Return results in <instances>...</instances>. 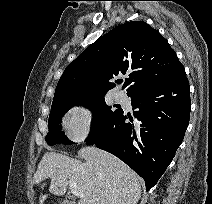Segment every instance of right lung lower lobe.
Segmentation results:
<instances>
[{"instance_id": "1", "label": "right lung lower lobe", "mask_w": 212, "mask_h": 204, "mask_svg": "<svg viewBox=\"0 0 212 204\" xmlns=\"http://www.w3.org/2000/svg\"><path fill=\"white\" fill-rule=\"evenodd\" d=\"M134 117L123 110L86 144L120 158L150 190L182 143L190 116V89L183 70L174 78L128 94Z\"/></svg>"}]
</instances>
